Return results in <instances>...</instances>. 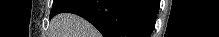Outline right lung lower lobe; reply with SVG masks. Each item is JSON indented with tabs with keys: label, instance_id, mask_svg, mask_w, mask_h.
Masks as SVG:
<instances>
[{
	"label": "right lung lower lobe",
	"instance_id": "obj_1",
	"mask_svg": "<svg viewBox=\"0 0 219 37\" xmlns=\"http://www.w3.org/2000/svg\"><path fill=\"white\" fill-rule=\"evenodd\" d=\"M158 9L157 0H71L57 14H77L104 37H150Z\"/></svg>",
	"mask_w": 219,
	"mask_h": 37
}]
</instances>
